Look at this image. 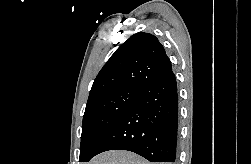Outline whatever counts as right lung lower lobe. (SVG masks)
Wrapping results in <instances>:
<instances>
[{"label": "right lung lower lobe", "instance_id": "98d812e1", "mask_svg": "<svg viewBox=\"0 0 251 164\" xmlns=\"http://www.w3.org/2000/svg\"><path fill=\"white\" fill-rule=\"evenodd\" d=\"M139 89L136 101L100 138L85 162L116 149L132 151L150 162H175L178 93L172 69Z\"/></svg>", "mask_w": 251, "mask_h": 164}]
</instances>
